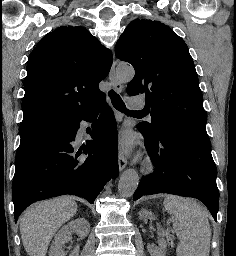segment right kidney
Listing matches in <instances>:
<instances>
[{
    "label": "right kidney",
    "instance_id": "1",
    "mask_svg": "<svg viewBox=\"0 0 236 256\" xmlns=\"http://www.w3.org/2000/svg\"><path fill=\"white\" fill-rule=\"evenodd\" d=\"M72 232H76L79 236V240L86 238L90 232V224L84 218H77V220H71L67 226H63L60 232H58L49 252V256H65L64 244H67L71 238ZM79 246L73 250L70 256H78Z\"/></svg>",
    "mask_w": 236,
    "mask_h": 256
}]
</instances>
